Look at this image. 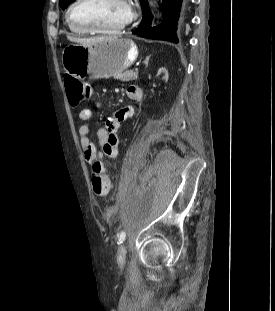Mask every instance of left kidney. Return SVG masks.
<instances>
[{"label":"left kidney","instance_id":"obj_1","mask_svg":"<svg viewBox=\"0 0 275 311\" xmlns=\"http://www.w3.org/2000/svg\"><path fill=\"white\" fill-rule=\"evenodd\" d=\"M157 78H158V80H163L164 82L167 81L168 80V71H167V69L163 68V67L160 68L159 71H158ZM162 86L164 87L165 85L164 84L162 85L160 82H154L152 84V87L154 89H160Z\"/></svg>","mask_w":275,"mask_h":311}]
</instances>
